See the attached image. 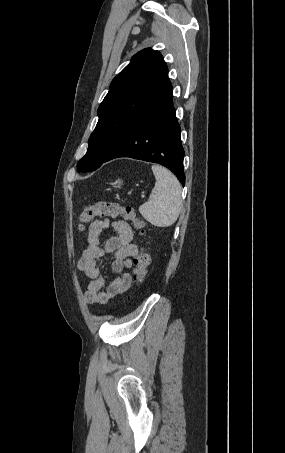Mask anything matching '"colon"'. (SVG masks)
Wrapping results in <instances>:
<instances>
[{
	"mask_svg": "<svg viewBox=\"0 0 285 453\" xmlns=\"http://www.w3.org/2000/svg\"><path fill=\"white\" fill-rule=\"evenodd\" d=\"M96 216H122L133 223L140 236H143L145 233L144 223L135 216L134 210L130 206H123L117 202L111 201H99L92 206L85 207L81 211L79 215V227L84 229V227ZM149 264L150 256L142 248L140 253L134 258L132 279L136 286L141 285L146 279Z\"/></svg>",
	"mask_w": 285,
	"mask_h": 453,
	"instance_id": "obj_1",
	"label": "colon"
}]
</instances>
